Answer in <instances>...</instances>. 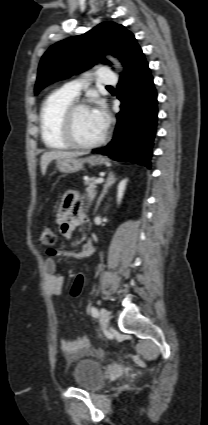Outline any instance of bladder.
<instances>
[{"label": "bladder", "mask_w": 208, "mask_h": 425, "mask_svg": "<svg viewBox=\"0 0 208 425\" xmlns=\"http://www.w3.org/2000/svg\"><path fill=\"white\" fill-rule=\"evenodd\" d=\"M72 381L80 389L96 392L105 383L103 367L94 358H82L73 368Z\"/></svg>", "instance_id": "31cf9c89"}]
</instances>
